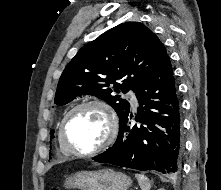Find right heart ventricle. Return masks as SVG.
<instances>
[{
	"label": "right heart ventricle",
	"instance_id": "1",
	"mask_svg": "<svg viewBox=\"0 0 221 190\" xmlns=\"http://www.w3.org/2000/svg\"><path fill=\"white\" fill-rule=\"evenodd\" d=\"M58 143H59V149H60V151H61V153H62L63 155H66V156L71 155V154L65 149V147L62 145V143H61V141H60V138H59V135H58Z\"/></svg>",
	"mask_w": 221,
	"mask_h": 190
}]
</instances>
